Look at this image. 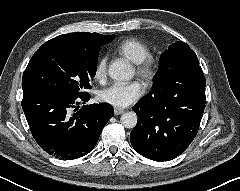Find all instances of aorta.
Instances as JSON below:
<instances>
[{"instance_id": "aorta-1", "label": "aorta", "mask_w": 240, "mask_h": 191, "mask_svg": "<svg viewBox=\"0 0 240 191\" xmlns=\"http://www.w3.org/2000/svg\"><path fill=\"white\" fill-rule=\"evenodd\" d=\"M109 76L117 81L130 80L134 76L133 67L124 60H116L109 65ZM120 121L126 128H134L137 125L138 117L135 112L124 113Z\"/></svg>"}]
</instances>
